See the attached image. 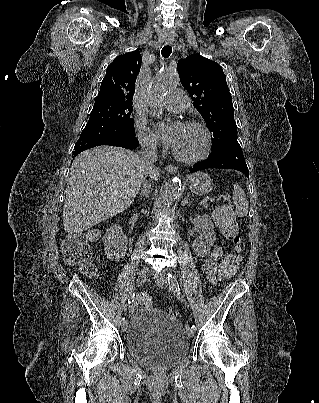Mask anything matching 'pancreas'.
<instances>
[{"mask_svg": "<svg viewBox=\"0 0 319 403\" xmlns=\"http://www.w3.org/2000/svg\"><path fill=\"white\" fill-rule=\"evenodd\" d=\"M203 208H204V209H207V208H208V205H207V204H204V205H203Z\"/></svg>", "mask_w": 319, "mask_h": 403, "instance_id": "obj_1", "label": "pancreas"}]
</instances>
